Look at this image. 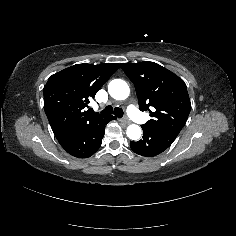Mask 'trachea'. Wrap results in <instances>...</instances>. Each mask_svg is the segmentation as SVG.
<instances>
[{"label": "trachea", "instance_id": "3493384b", "mask_svg": "<svg viewBox=\"0 0 236 236\" xmlns=\"http://www.w3.org/2000/svg\"><path fill=\"white\" fill-rule=\"evenodd\" d=\"M102 114H114L116 117L123 116V110L119 107L113 108L112 106H106V108L101 112Z\"/></svg>", "mask_w": 236, "mask_h": 236}]
</instances>
